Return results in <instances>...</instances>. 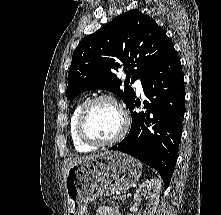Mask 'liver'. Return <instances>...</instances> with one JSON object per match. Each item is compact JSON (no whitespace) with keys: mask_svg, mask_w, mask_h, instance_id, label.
Segmentation results:
<instances>
[{"mask_svg":"<svg viewBox=\"0 0 221 215\" xmlns=\"http://www.w3.org/2000/svg\"><path fill=\"white\" fill-rule=\"evenodd\" d=\"M101 154V153H100ZM100 154H96V155H90V156H86V157H76V158H68L65 162V166H64V176L66 177V174L68 172V169L70 168V166H72L73 164H76L82 160L85 159H91L94 158Z\"/></svg>","mask_w":221,"mask_h":215,"instance_id":"1","label":"liver"}]
</instances>
